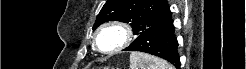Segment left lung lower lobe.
Wrapping results in <instances>:
<instances>
[{
  "label": "left lung lower lobe",
  "instance_id": "0a47b994",
  "mask_svg": "<svg viewBox=\"0 0 246 69\" xmlns=\"http://www.w3.org/2000/svg\"><path fill=\"white\" fill-rule=\"evenodd\" d=\"M174 32L171 17L168 21L145 30L124 51L146 52L161 57L179 68L178 42Z\"/></svg>",
  "mask_w": 246,
  "mask_h": 69
}]
</instances>
